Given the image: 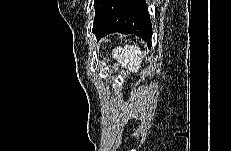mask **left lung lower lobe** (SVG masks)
Wrapping results in <instances>:
<instances>
[{
	"label": "left lung lower lobe",
	"mask_w": 231,
	"mask_h": 151,
	"mask_svg": "<svg viewBox=\"0 0 231 151\" xmlns=\"http://www.w3.org/2000/svg\"><path fill=\"white\" fill-rule=\"evenodd\" d=\"M92 32L97 40L114 32L135 34L151 47L152 24L145 0H110Z\"/></svg>",
	"instance_id": "obj_1"
}]
</instances>
